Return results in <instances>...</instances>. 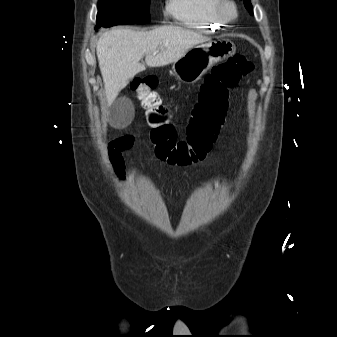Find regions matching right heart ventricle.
Returning a JSON list of instances; mask_svg holds the SVG:
<instances>
[{"instance_id": "right-heart-ventricle-1", "label": "right heart ventricle", "mask_w": 337, "mask_h": 337, "mask_svg": "<svg viewBox=\"0 0 337 337\" xmlns=\"http://www.w3.org/2000/svg\"><path fill=\"white\" fill-rule=\"evenodd\" d=\"M219 3L220 0H168L166 11L187 28L214 31L228 25L218 12Z\"/></svg>"}]
</instances>
